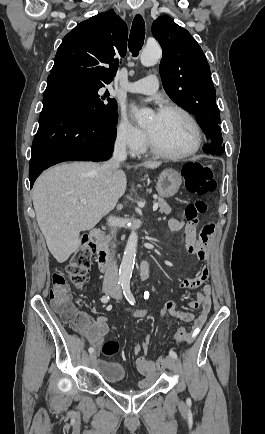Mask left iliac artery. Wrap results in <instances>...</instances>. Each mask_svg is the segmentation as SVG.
<instances>
[{
	"instance_id": "1",
	"label": "left iliac artery",
	"mask_w": 265,
	"mask_h": 434,
	"mask_svg": "<svg viewBox=\"0 0 265 434\" xmlns=\"http://www.w3.org/2000/svg\"><path fill=\"white\" fill-rule=\"evenodd\" d=\"M122 289H123V294L125 296V298L127 299V301L131 304L134 305L135 304V298L130 290V283L129 282H124L122 284ZM169 355L171 357H173L175 360H177V354L176 352H174L173 350L169 351Z\"/></svg>"
}]
</instances>
